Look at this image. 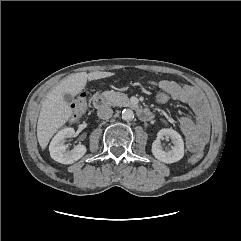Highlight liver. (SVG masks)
I'll return each mask as SVG.
<instances>
[{
	"mask_svg": "<svg viewBox=\"0 0 241 241\" xmlns=\"http://www.w3.org/2000/svg\"><path fill=\"white\" fill-rule=\"evenodd\" d=\"M113 75L114 73L106 71L75 73L63 79L51 90L43 101L37 123V138L42 149L47 147L52 136L72 115L71 108L64 100V94L77 95L84 89L87 81Z\"/></svg>",
	"mask_w": 241,
	"mask_h": 241,
	"instance_id": "1",
	"label": "liver"
}]
</instances>
